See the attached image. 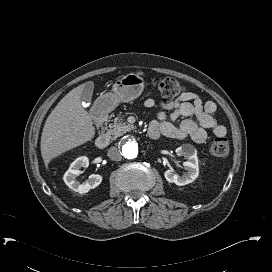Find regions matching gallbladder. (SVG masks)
<instances>
[{
	"mask_svg": "<svg viewBox=\"0 0 272 272\" xmlns=\"http://www.w3.org/2000/svg\"><path fill=\"white\" fill-rule=\"evenodd\" d=\"M92 92H93V84L91 82H87L84 86V89H83L81 101L87 103V105H90Z\"/></svg>",
	"mask_w": 272,
	"mask_h": 272,
	"instance_id": "1",
	"label": "gallbladder"
}]
</instances>
